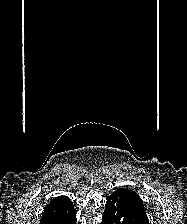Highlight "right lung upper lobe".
<instances>
[{"label": "right lung upper lobe", "mask_w": 187, "mask_h": 224, "mask_svg": "<svg viewBox=\"0 0 187 224\" xmlns=\"http://www.w3.org/2000/svg\"><path fill=\"white\" fill-rule=\"evenodd\" d=\"M73 210L72 201L68 197L58 196L46 206L40 224H54L68 217Z\"/></svg>", "instance_id": "right-lung-upper-lobe-1"}]
</instances>
